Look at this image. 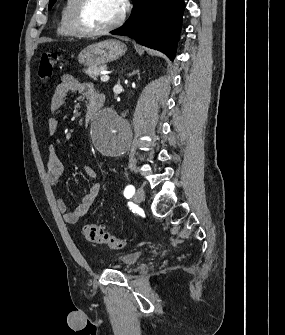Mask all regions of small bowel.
<instances>
[{"label":"small bowel","instance_id":"1","mask_svg":"<svg viewBox=\"0 0 285 335\" xmlns=\"http://www.w3.org/2000/svg\"><path fill=\"white\" fill-rule=\"evenodd\" d=\"M74 92L81 94L87 98L89 102L103 99L92 84L81 83L72 75H64L61 82L56 85L50 100L49 109L52 113V117H50L47 122L49 135L53 136L57 133L59 129L58 114L62 106L65 104L68 96ZM46 170L48 179L52 185H56L64 173V166L60 161L53 144H49L47 147ZM84 171L90 178H94L96 176V171L91 166H86ZM100 191L101 184L99 182L94 183L89 192L82 198L79 205L73 211H68L65 202L62 199H58L57 206L64 220L72 224L78 222L87 213L91 205L99 196Z\"/></svg>","mask_w":285,"mask_h":335}]
</instances>
